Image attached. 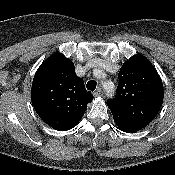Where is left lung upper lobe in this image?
<instances>
[{
  "label": "left lung upper lobe",
  "mask_w": 175,
  "mask_h": 175,
  "mask_svg": "<svg viewBox=\"0 0 175 175\" xmlns=\"http://www.w3.org/2000/svg\"><path fill=\"white\" fill-rule=\"evenodd\" d=\"M115 98L107 101L113 118L148 125L162 106L164 89L154 66L142 55H134L118 74Z\"/></svg>",
  "instance_id": "5c2ea615"
}]
</instances>
